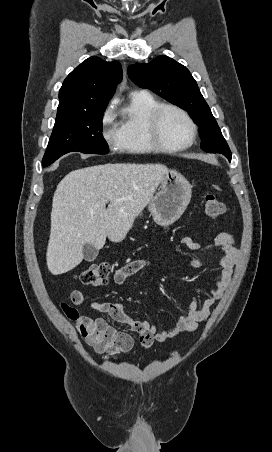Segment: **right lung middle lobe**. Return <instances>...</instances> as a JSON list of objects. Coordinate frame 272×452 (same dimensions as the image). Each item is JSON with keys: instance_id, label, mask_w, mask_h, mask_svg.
<instances>
[{"instance_id": "dd1d6c3e", "label": "right lung middle lobe", "mask_w": 272, "mask_h": 452, "mask_svg": "<svg viewBox=\"0 0 272 452\" xmlns=\"http://www.w3.org/2000/svg\"><path fill=\"white\" fill-rule=\"evenodd\" d=\"M105 108L56 117L42 166H49L62 155L73 151L107 154L109 148L102 135V117Z\"/></svg>"}]
</instances>
